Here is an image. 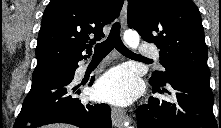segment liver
Masks as SVG:
<instances>
[{
  "label": "liver",
  "mask_w": 221,
  "mask_h": 128,
  "mask_svg": "<svg viewBox=\"0 0 221 128\" xmlns=\"http://www.w3.org/2000/svg\"><path fill=\"white\" fill-rule=\"evenodd\" d=\"M45 128H74L72 125L67 124H52L48 125Z\"/></svg>",
  "instance_id": "obj_1"
}]
</instances>
